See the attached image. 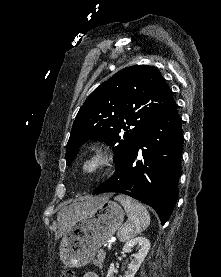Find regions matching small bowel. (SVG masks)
Here are the masks:
<instances>
[{
  "mask_svg": "<svg viewBox=\"0 0 221 277\" xmlns=\"http://www.w3.org/2000/svg\"><path fill=\"white\" fill-rule=\"evenodd\" d=\"M84 277H98V275L96 273H93V272H88L84 275Z\"/></svg>",
  "mask_w": 221,
  "mask_h": 277,
  "instance_id": "small-bowel-1",
  "label": "small bowel"
}]
</instances>
